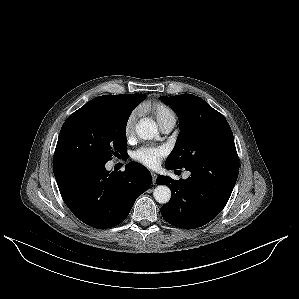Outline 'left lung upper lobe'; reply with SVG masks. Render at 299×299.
<instances>
[{
  "mask_svg": "<svg viewBox=\"0 0 299 299\" xmlns=\"http://www.w3.org/2000/svg\"><path fill=\"white\" fill-rule=\"evenodd\" d=\"M176 112L180 132L165 166L188 168L208 158L236 152L233 133L224 116L192 94L160 97Z\"/></svg>",
  "mask_w": 299,
  "mask_h": 299,
  "instance_id": "obj_1",
  "label": "left lung upper lobe"
}]
</instances>
